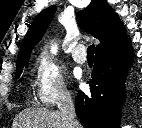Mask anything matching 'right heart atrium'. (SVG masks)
Masks as SVG:
<instances>
[{"instance_id":"right-heart-atrium-1","label":"right heart atrium","mask_w":142,"mask_h":128,"mask_svg":"<svg viewBox=\"0 0 142 128\" xmlns=\"http://www.w3.org/2000/svg\"><path fill=\"white\" fill-rule=\"evenodd\" d=\"M34 89L37 99L45 105L54 104L69 97L63 73L48 55H40L35 63Z\"/></svg>"}]
</instances>
